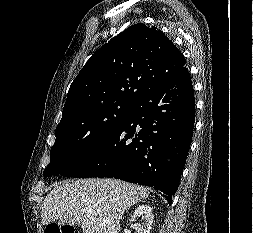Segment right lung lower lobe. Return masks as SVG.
<instances>
[{
	"mask_svg": "<svg viewBox=\"0 0 253 233\" xmlns=\"http://www.w3.org/2000/svg\"><path fill=\"white\" fill-rule=\"evenodd\" d=\"M194 120L193 87L188 69L183 67L149 87L105 143L59 174L151 186L163 192L171 204L190 148Z\"/></svg>",
	"mask_w": 253,
	"mask_h": 233,
	"instance_id": "1",
	"label": "right lung lower lobe"
}]
</instances>
